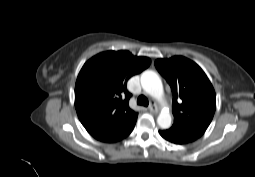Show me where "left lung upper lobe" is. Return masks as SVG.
I'll list each match as a JSON object with an SVG mask.
<instances>
[{
  "label": "left lung upper lobe",
  "instance_id": "5c2ea615",
  "mask_svg": "<svg viewBox=\"0 0 255 177\" xmlns=\"http://www.w3.org/2000/svg\"><path fill=\"white\" fill-rule=\"evenodd\" d=\"M155 66L173 93L174 124L168 131L188 142L200 138L216 109L214 88L204 71L193 61L174 56L157 59Z\"/></svg>",
  "mask_w": 255,
  "mask_h": 177
}]
</instances>
